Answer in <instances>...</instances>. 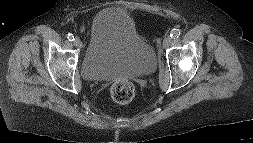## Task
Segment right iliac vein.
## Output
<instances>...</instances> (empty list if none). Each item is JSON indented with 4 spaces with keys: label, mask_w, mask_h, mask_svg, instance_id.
Segmentation results:
<instances>
[{
    "label": "right iliac vein",
    "mask_w": 253,
    "mask_h": 143,
    "mask_svg": "<svg viewBox=\"0 0 253 143\" xmlns=\"http://www.w3.org/2000/svg\"><path fill=\"white\" fill-rule=\"evenodd\" d=\"M73 44L77 47V48H81L82 47V42L80 39L76 38L73 42Z\"/></svg>",
    "instance_id": "obj_1"
}]
</instances>
